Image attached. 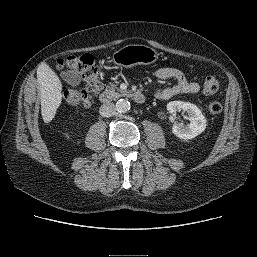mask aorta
<instances>
[{
	"label": "aorta",
	"instance_id": "aorta-1",
	"mask_svg": "<svg viewBox=\"0 0 257 257\" xmlns=\"http://www.w3.org/2000/svg\"><path fill=\"white\" fill-rule=\"evenodd\" d=\"M131 105L128 99H120L116 102V110L120 113H126L130 110Z\"/></svg>",
	"mask_w": 257,
	"mask_h": 257
}]
</instances>
